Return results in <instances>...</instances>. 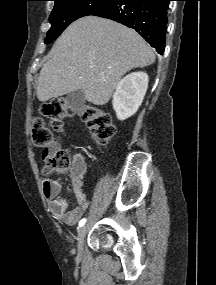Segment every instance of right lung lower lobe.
Wrapping results in <instances>:
<instances>
[{
	"label": "right lung lower lobe",
	"mask_w": 216,
	"mask_h": 285,
	"mask_svg": "<svg viewBox=\"0 0 216 285\" xmlns=\"http://www.w3.org/2000/svg\"><path fill=\"white\" fill-rule=\"evenodd\" d=\"M169 1L171 0H112L89 15L108 18L135 29L162 55Z\"/></svg>",
	"instance_id": "1"
}]
</instances>
